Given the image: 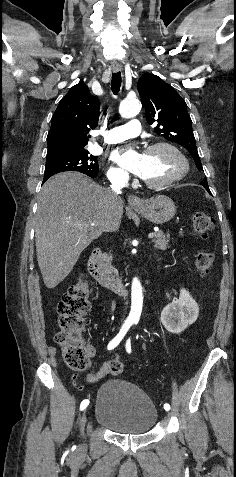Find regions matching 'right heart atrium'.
<instances>
[{"label":"right heart atrium","mask_w":236,"mask_h":477,"mask_svg":"<svg viewBox=\"0 0 236 477\" xmlns=\"http://www.w3.org/2000/svg\"><path fill=\"white\" fill-rule=\"evenodd\" d=\"M107 177L112 183L124 182L128 178L124 170L115 166L109 167Z\"/></svg>","instance_id":"d8ad5b80"}]
</instances>
